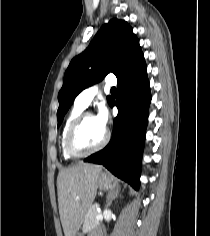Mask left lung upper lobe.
<instances>
[{"label":"left lung upper lobe","instance_id":"5c2ea615","mask_svg":"<svg viewBox=\"0 0 210 236\" xmlns=\"http://www.w3.org/2000/svg\"><path fill=\"white\" fill-rule=\"evenodd\" d=\"M144 62L139 40L130 25L112 19L98 31L88 48L76 56L64 74L58 95V126L75 97L85 88L101 81L109 72L118 80L131 75ZM110 104L112 98L107 97Z\"/></svg>","mask_w":210,"mask_h":236}]
</instances>
